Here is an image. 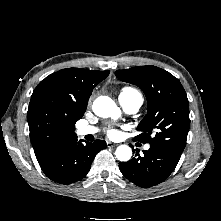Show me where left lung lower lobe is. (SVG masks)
Here are the masks:
<instances>
[{
  "instance_id": "obj_1",
  "label": "left lung lower lobe",
  "mask_w": 221,
  "mask_h": 221,
  "mask_svg": "<svg viewBox=\"0 0 221 221\" xmlns=\"http://www.w3.org/2000/svg\"><path fill=\"white\" fill-rule=\"evenodd\" d=\"M134 157L128 162L119 163L121 173L140 187H150L163 182L175 169L180 156L160 146L151 145L143 150L144 156L134 149Z\"/></svg>"
}]
</instances>
